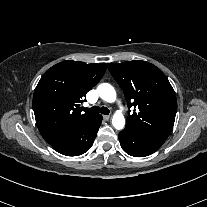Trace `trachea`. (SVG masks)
<instances>
[{
  "mask_svg": "<svg viewBox=\"0 0 207 207\" xmlns=\"http://www.w3.org/2000/svg\"><path fill=\"white\" fill-rule=\"evenodd\" d=\"M85 112L96 114V113H101L108 115L109 114V109L106 107H99V106H93L92 108H84Z\"/></svg>",
  "mask_w": 207,
  "mask_h": 207,
  "instance_id": "trachea-1",
  "label": "trachea"
}]
</instances>
